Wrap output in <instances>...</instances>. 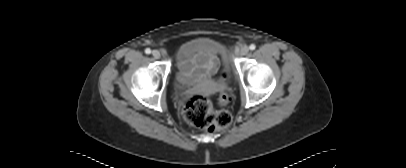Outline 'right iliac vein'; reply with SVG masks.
I'll return each instance as SVG.
<instances>
[{
	"label": "right iliac vein",
	"mask_w": 406,
	"mask_h": 168,
	"mask_svg": "<svg viewBox=\"0 0 406 168\" xmlns=\"http://www.w3.org/2000/svg\"><path fill=\"white\" fill-rule=\"evenodd\" d=\"M152 55L156 59H159L161 57V53L158 50H153Z\"/></svg>",
	"instance_id": "1"
}]
</instances>
